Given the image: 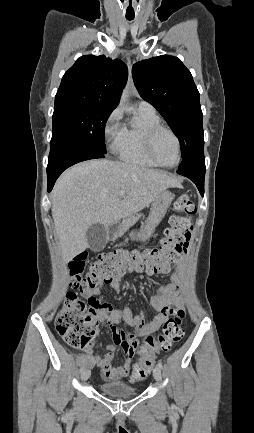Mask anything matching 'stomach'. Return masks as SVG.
I'll return each mask as SVG.
<instances>
[{"label": "stomach", "instance_id": "1", "mask_svg": "<svg viewBox=\"0 0 254 433\" xmlns=\"http://www.w3.org/2000/svg\"><path fill=\"white\" fill-rule=\"evenodd\" d=\"M174 199V194L168 190H163L158 194V196L153 200L149 216L146 222L141 226V229L137 237L143 241L150 238L153 234L155 227L160 223V221L165 216L167 209L169 208L172 200ZM117 233L112 234V239H115ZM132 238H135V233L131 234Z\"/></svg>", "mask_w": 254, "mask_h": 433}]
</instances>
